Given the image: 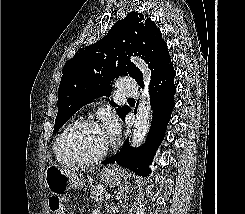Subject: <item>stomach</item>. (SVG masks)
Masks as SVG:
<instances>
[{
  "label": "stomach",
  "mask_w": 245,
  "mask_h": 214,
  "mask_svg": "<svg viewBox=\"0 0 245 214\" xmlns=\"http://www.w3.org/2000/svg\"><path fill=\"white\" fill-rule=\"evenodd\" d=\"M123 171L107 168L101 172V180L105 185L116 187L122 182ZM84 180L74 171L50 165L45 171V185L53 195H61L72 188L84 186Z\"/></svg>",
  "instance_id": "1"
}]
</instances>
